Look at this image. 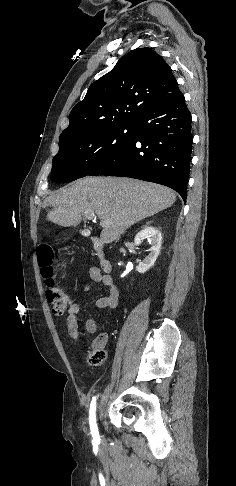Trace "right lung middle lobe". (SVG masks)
I'll return each mask as SVG.
<instances>
[{"instance_id": "1", "label": "right lung middle lobe", "mask_w": 236, "mask_h": 486, "mask_svg": "<svg viewBox=\"0 0 236 486\" xmlns=\"http://www.w3.org/2000/svg\"><path fill=\"white\" fill-rule=\"evenodd\" d=\"M135 134L136 124L132 123L87 132L59 143V152L52 162L51 179L66 183L89 175L130 144Z\"/></svg>"}]
</instances>
